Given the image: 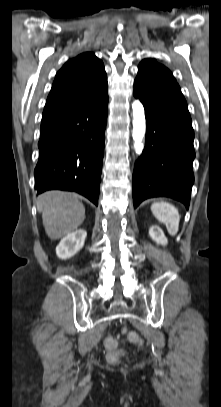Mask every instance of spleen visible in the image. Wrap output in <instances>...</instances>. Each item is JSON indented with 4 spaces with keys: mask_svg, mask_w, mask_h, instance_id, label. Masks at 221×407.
I'll return each instance as SVG.
<instances>
[{
    "mask_svg": "<svg viewBox=\"0 0 221 407\" xmlns=\"http://www.w3.org/2000/svg\"><path fill=\"white\" fill-rule=\"evenodd\" d=\"M151 211L159 221L166 225L170 235L177 234L180 216L175 206L168 202H155L151 205Z\"/></svg>",
    "mask_w": 221,
    "mask_h": 407,
    "instance_id": "spleen-1",
    "label": "spleen"
}]
</instances>
